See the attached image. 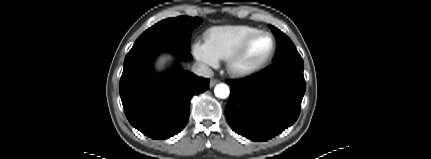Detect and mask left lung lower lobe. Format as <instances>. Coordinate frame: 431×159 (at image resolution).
Listing matches in <instances>:
<instances>
[{"label":"left lung lower lobe","instance_id":"0a47b994","mask_svg":"<svg viewBox=\"0 0 431 159\" xmlns=\"http://www.w3.org/2000/svg\"><path fill=\"white\" fill-rule=\"evenodd\" d=\"M303 62L286 61L231 86L225 108L233 131L252 141H267L297 120L305 93Z\"/></svg>","mask_w":431,"mask_h":159}]
</instances>
